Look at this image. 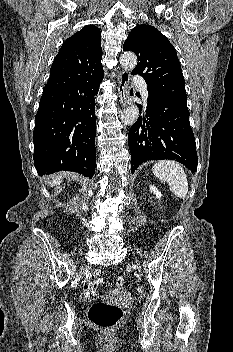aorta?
Instances as JSON below:
<instances>
[{"instance_id": "1", "label": "aorta", "mask_w": 233, "mask_h": 352, "mask_svg": "<svg viewBox=\"0 0 233 352\" xmlns=\"http://www.w3.org/2000/svg\"><path fill=\"white\" fill-rule=\"evenodd\" d=\"M121 67L126 71H132L137 65V57L132 52H125L120 57ZM139 116V109L137 106L132 105L127 107L122 115L121 121L124 125H133Z\"/></svg>"}]
</instances>
